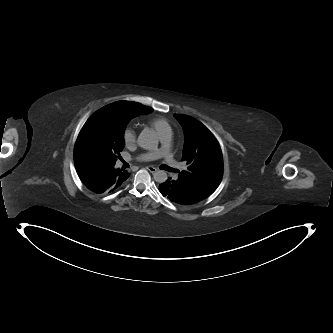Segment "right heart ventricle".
I'll use <instances>...</instances> for the list:
<instances>
[{"label":"right heart ventricle","instance_id":"1","mask_svg":"<svg viewBox=\"0 0 333 333\" xmlns=\"http://www.w3.org/2000/svg\"><path fill=\"white\" fill-rule=\"evenodd\" d=\"M149 124L157 131L159 136L171 131L168 122L163 118H152L149 120Z\"/></svg>","mask_w":333,"mask_h":333}]
</instances>
